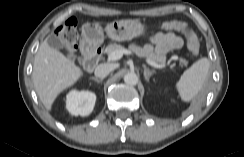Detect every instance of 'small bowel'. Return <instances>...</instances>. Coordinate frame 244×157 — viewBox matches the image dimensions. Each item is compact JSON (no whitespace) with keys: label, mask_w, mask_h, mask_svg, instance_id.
Here are the masks:
<instances>
[{"label":"small bowel","mask_w":244,"mask_h":157,"mask_svg":"<svg viewBox=\"0 0 244 157\" xmlns=\"http://www.w3.org/2000/svg\"><path fill=\"white\" fill-rule=\"evenodd\" d=\"M183 45L181 37L174 33H157L150 38V42L142 48L134 47V49L141 55H149L156 53L157 55H164L171 50L179 49Z\"/></svg>","instance_id":"obj_1"}]
</instances>
